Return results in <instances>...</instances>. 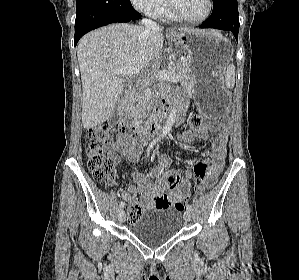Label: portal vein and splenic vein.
<instances>
[{"instance_id":"obj_1","label":"portal vein and splenic vein","mask_w":299,"mask_h":280,"mask_svg":"<svg viewBox=\"0 0 299 280\" xmlns=\"http://www.w3.org/2000/svg\"><path fill=\"white\" fill-rule=\"evenodd\" d=\"M187 60L185 58H181V62L185 63ZM115 74L117 75H133V74H138L139 69L136 67L128 66L119 70L114 71Z\"/></svg>"}]
</instances>
